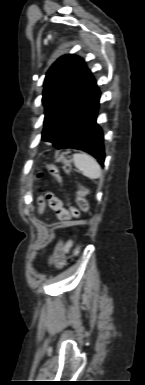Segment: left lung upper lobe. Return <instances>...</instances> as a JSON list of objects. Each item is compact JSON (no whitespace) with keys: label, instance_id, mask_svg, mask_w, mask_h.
Here are the masks:
<instances>
[{"label":"left lung upper lobe","instance_id":"obj_1","mask_svg":"<svg viewBox=\"0 0 145 385\" xmlns=\"http://www.w3.org/2000/svg\"><path fill=\"white\" fill-rule=\"evenodd\" d=\"M93 77L80 57L65 55L49 69L44 82L42 138L50 141L62 120L86 93Z\"/></svg>","mask_w":145,"mask_h":385}]
</instances>
